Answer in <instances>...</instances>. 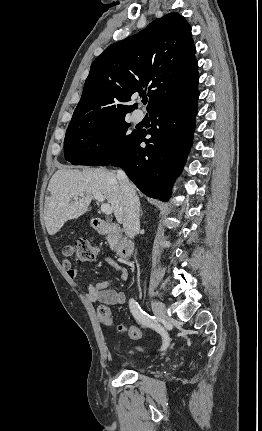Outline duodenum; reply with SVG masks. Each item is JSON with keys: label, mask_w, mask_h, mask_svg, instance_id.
I'll list each match as a JSON object with an SVG mask.
<instances>
[{"label": "duodenum", "mask_w": 262, "mask_h": 431, "mask_svg": "<svg viewBox=\"0 0 262 431\" xmlns=\"http://www.w3.org/2000/svg\"><path fill=\"white\" fill-rule=\"evenodd\" d=\"M92 223L100 234L111 235L115 243L116 252L120 257H131L134 246L132 242L123 235L120 225L109 223L96 217L92 218Z\"/></svg>", "instance_id": "410a0bca"}]
</instances>
